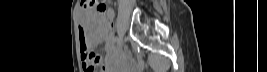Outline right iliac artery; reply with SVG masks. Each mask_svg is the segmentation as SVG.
Returning a JSON list of instances; mask_svg holds the SVG:
<instances>
[{"mask_svg":"<svg viewBox=\"0 0 267 72\" xmlns=\"http://www.w3.org/2000/svg\"><path fill=\"white\" fill-rule=\"evenodd\" d=\"M119 41H120V39H119L118 37H115V38H114V42H115V43H118Z\"/></svg>","mask_w":267,"mask_h":72,"instance_id":"right-iliac-artery-1","label":"right iliac artery"}]
</instances>
